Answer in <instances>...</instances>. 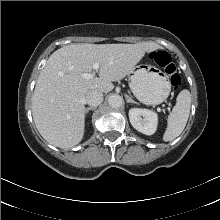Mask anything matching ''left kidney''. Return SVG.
<instances>
[{
    "mask_svg": "<svg viewBox=\"0 0 220 220\" xmlns=\"http://www.w3.org/2000/svg\"><path fill=\"white\" fill-rule=\"evenodd\" d=\"M129 120L137 131L145 135H152L156 132L158 116L151 110L132 108L129 110Z\"/></svg>",
    "mask_w": 220,
    "mask_h": 220,
    "instance_id": "obj_1",
    "label": "left kidney"
}]
</instances>
